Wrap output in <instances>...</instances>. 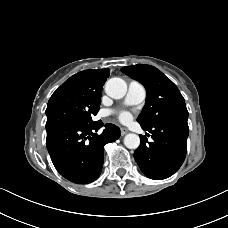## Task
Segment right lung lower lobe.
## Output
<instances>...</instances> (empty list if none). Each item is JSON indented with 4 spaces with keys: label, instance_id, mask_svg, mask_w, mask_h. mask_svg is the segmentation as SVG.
<instances>
[{
    "label": "right lung lower lobe",
    "instance_id": "98d812e1",
    "mask_svg": "<svg viewBox=\"0 0 228 228\" xmlns=\"http://www.w3.org/2000/svg\"><path fill=\"white\" fill-rule=\"evenodd\" d=\"M103 126L93 124L64 125L47 132V149L56 170L77 184L96 180L102 170L104 145L120 137L116 125L106 124L102 134L96 132Z\"/></svg>",
    "mask_w": 228,
    "mask_h": 228
}]
</instances>
